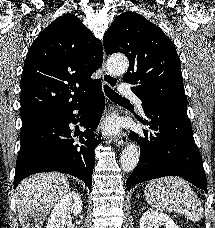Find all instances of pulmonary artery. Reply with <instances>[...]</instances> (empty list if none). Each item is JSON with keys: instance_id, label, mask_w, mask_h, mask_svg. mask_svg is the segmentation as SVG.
<instances>
[{"instance_id": "e3ab8cb5", "label": "pulmonary artery", "mask_w": 215, "mask_h": 228, "mask_svg": "<svg viewBox=\"0 0 215 228\" xmlns=\"http://www.w3.org/2000/svg\"><path fill=\"white\" fill-rule=\"evenodd\" d=\"M135 88L134 84H118L116 92L118 96H132L129 97V102H136L135 109L139 110L141 113H144V106L142 102V97H136L132 92Z\"/></svg>"}]
</instances>
